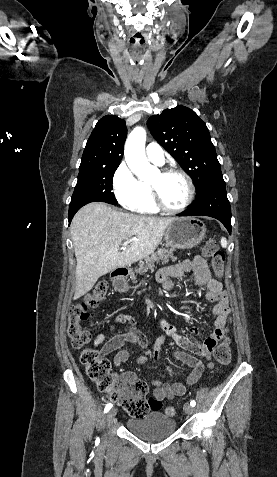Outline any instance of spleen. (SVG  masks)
Instances as JSON below:
<instances>
[{
	"label": "spleen",
	"instance_id": "1",
	"mask_svg": "<svg viewBox=\"0 0 277 477\" xmlns=\"http://www.w3.org/2000/svg\"><path fill=\"white\" fill-rule=\"evenodd\" d=\"M221 246H222L223 248H226V247H227V240H226V238H224V237L221 238Z\"/></svg>",
	"mask_w": 277,
	"mask_h": 477
}]
</instances>
